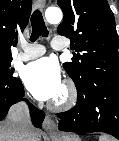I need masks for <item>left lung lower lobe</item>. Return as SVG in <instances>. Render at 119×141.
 Segmentation results:
<instances>
[{
	"instance_id": "obj_1",
	"label": "left lung lower lobe",
	"mask_w": 119,
	"mask_h": 141,
	"mask_svg": "<svg viewBox=\"0 0 119 141\" xmlns=\"http://www.w3.org/2000/svg\"><path fill=\"white\" fill-rule=\"evenodd\" d=\"M76 88L77 104L58 114V128L68 132H105L119 139V75L101 74Z\"/></svg>"
}]
</instances>
